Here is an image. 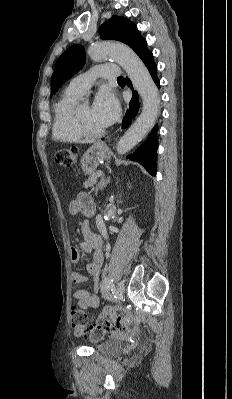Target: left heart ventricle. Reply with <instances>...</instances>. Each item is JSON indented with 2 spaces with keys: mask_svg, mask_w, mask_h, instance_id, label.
Returning a JSON list of instances; mask_svg holds the SVG:
<instances>
[{
  "mask_svg": "<svg viewBox=\"0 0 232 399\" xmlns=\"http://www.w3.org/2000/svg\"><path fill=\"white\" fill-rule=\"evenodd\" d=\"M77 112L83 120L87 129L91 132L98 133L103 132L107 129L92 115L91 107H89L88 105L81 106Z\"/></svg>",
  "mask_w": 232,
  "mask_h": 399,
  "instance_id": "obj_1",
  "label": "left heart ventricle"
}]
</instances>
